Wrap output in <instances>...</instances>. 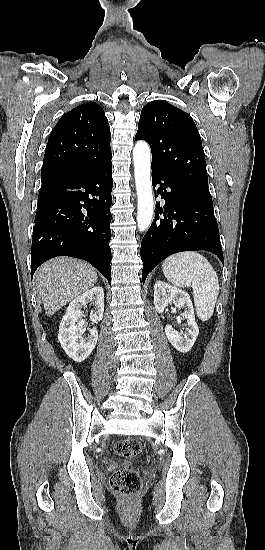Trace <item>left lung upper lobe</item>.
Returning a JSON list of instances; mask_svg holds the SVG:
<instances>
[{
    "instance_id": "1",
    "label": "left lung upper lobe",
    "mask_w": 265,
    "mask_h": 550,
    "mask_svg": "<svg viewBox=\"0 0 265 550\" xmlns=\"http://www.w3.org/2000/svg\"><path fill=\"white\" fill-rule=\"evenodd\" d=\"M135 139L149 143L152 166L211 197L201 137L189 114L162 100L147 103Z\"/></svg>"
}]
</instances>
